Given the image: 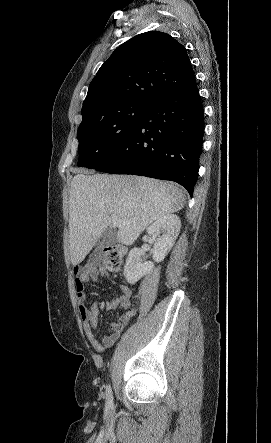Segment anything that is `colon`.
Returning a JSON list of instances; mask_svg holds the SVG:
<instances>
[{"mask_svg":"<svg viewBox=\"0 0 271 443\" xmlns=\"http://www.w3.org/2000/svg\"><path fill=\"white\" fill-rule=\"evenodd\" d=\"M127 255V248L124 245L107 246L102 250V256L106 262L108 270L116 271L121 267Z\"/></svg>","mask_w":271,"mask_h":443,"instance_id":"obj_1","label":"colon"}]
</instances>
